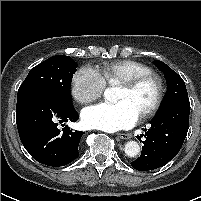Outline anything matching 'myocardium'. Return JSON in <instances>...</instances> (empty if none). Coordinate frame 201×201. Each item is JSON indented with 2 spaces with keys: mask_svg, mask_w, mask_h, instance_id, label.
Here are the masks:
<instances>
[{
  "mask_svg": "<svg viewBox=\"0 0 201 201\" xmlns=\"http://www.w3.org/2000/svg\"><path fill=\"white\" fill-rule=\"evenodd\" d=\"M147 80H153L155 82L157 92H156V97L154 102L147 110H145L139 116L140 119H147L153 116L160 109L163 102L164 93H165V82L163 77L159 75L158 73L151 71V72L133 76L120 83V86L126 87L128 89H135L136 87H138L140 84H142L143 82Z\"/></svg>",
  "mask_w": 201,
  "mask_h": 201,
  "instance_id": "f54148a6",
  "label": "myocardium"
}]
</instances>
